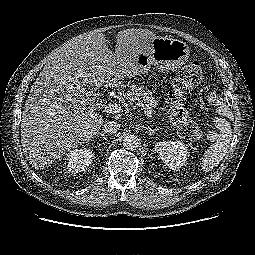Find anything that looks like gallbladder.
Returning <instances> with one entry per match:
<instances>
[{"label": "gallbladder", "mask_w": 255, "mask_h": 255, "mask_svg": "<svg viewBox=\"0 0 255 255\" xmlns=\"http://www.w3.org/2000/svg\"><path fill=\"white\" fill-rule=\"evenodd\" d=\"M81 89L83 90V94L90 100L94 101L96 99V94L91 88V86L88 85H81Z\"/></svg>", "instance_id": "gallbladder-1"}]
</instances>
